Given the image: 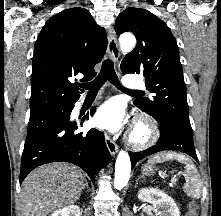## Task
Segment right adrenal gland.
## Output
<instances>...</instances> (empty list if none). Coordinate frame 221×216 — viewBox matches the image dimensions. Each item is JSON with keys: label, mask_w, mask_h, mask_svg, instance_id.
Here are the masks:
<instances>
[{"label": "right adrenal gland", "mask_w": 221, "mask_h": 216, "mask_svg": "<svg viewBox=\"0 0 221 216\" xmlns=\"http://www.w3.org/2000/svg\"><path fill=\"white\" fill-rule=\"evenodd\" d=\"M84 186L87 188V191L89 192V186H88V183H87V182L85 183Z\"/></svg>", "instance_id": "2a0ac1e0"}]
</instances>
